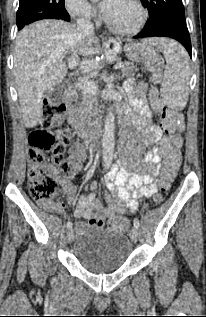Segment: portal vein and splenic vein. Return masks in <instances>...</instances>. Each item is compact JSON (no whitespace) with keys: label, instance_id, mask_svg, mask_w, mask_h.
<instances>
[{"label":"portal vein and splenic vein","instance_id":"obj_1","mask_svg":"<svg viewBox=\"0 0 206 317\" xmlns=\"http://www.w3.org/2000/svg\"><path fill=\"white\" fill-rule=\"evenodd\" d=\"M77 65V58L74 56V55H71L68 59V67L70 69L76 67ZM86 67H89L91 66L90 63L84 65ZM123 67V63L120 62V63H117L115 65V69H119V68H122ZM78 86L84 90L85 92H88V93H92V94H95L96 91H97V86L96 84L93 82V81H90V80H80L78 82Z\"/></svg>","mask_w":206,"mask_h":317}]
</instances>
